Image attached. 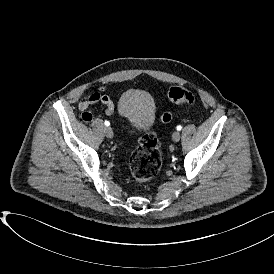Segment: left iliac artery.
I'll return each instance as SVG.
<instances>
[{
	"label": "left iliac artery",
	"mask_w": 274,
	"mask_h": 274,
	"mask_svg": "<svg viewBox=\"0 0 274 274\" xmlns=\"http://www.w3.org/2000/svg\"><path fill=\"white\" fill-rule=\"evenodd\" d=\"M182 129V126L181 125H178L177 126V130L180 131Z\"/></svg>",
	"instance_id": "obj_1"
}]
</instances>
